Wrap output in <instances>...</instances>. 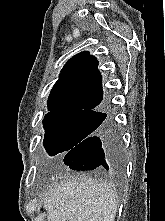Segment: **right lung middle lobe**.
<instances>
[{"mask_svg":"<svg viewBox=\"0 0 165 221\" xmlns=\"http://www.w3.org/2000/svg\"><path fill=\"white\" fill-rule=\"evenodd\" d=\"M100 112H49L45 115L44 147L49 155L68 152L104 121Z\"/></svg>","mask_w":165,"mask_h":221,"instance_id":"obj_1","label":"right lung middle lobe"}]
</instances>
